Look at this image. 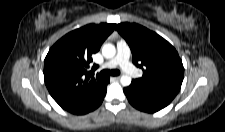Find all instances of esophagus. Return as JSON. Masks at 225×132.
Returning <instances> with one entry per match:
<instances>
[{"mask_svg":"<svg viewBox=\"0 0 225 132\" xmlns=\"http://www.w3.org/2000/svg\"><path fill=\"white\" fill-rule=\"evenodd\" d=\"M112 80H115V81H118L120 79L119 76H114V77H111Z\"/></svg>","mask_w":225,"mask_h":132,"instance_id":"34e87169","label":"esophagus"}]
</instances>
